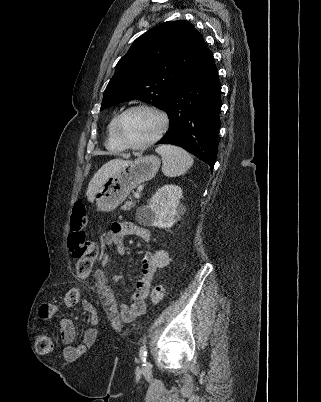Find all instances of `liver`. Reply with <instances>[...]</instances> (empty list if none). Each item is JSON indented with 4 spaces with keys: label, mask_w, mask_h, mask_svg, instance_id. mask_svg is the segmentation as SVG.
Returning <instances> with one entry per match:
<instances>
[{
    "label": "liver",
    "mask_w": 321,
    "mask_h": 402,
    "mask_svg": "<svg viewBox=\"0 0 321 402\" xmlns=\"http://www.w3.org/2000/svg\"><path fill=\"white\" fill-rule=\"evenodd\" d=\"M130 163L131 161L129 160L113 159L104 164L89 182L86 193L88 200L93 201L96 191L107 180V178Z\"/></svg>",
    "instance_id": "1"
}]
</instances>
